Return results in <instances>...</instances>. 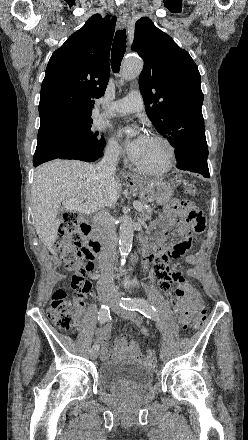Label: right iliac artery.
I'll return each mask as SVG.
<instances>
[{
	"mask_svg": "<svg viewBox=\"0 0 248 440\" xmlns=\"http://www.w3.org/2000/svg\"><path fill=\"white\" fill-rule=\"evenodd\" d=\"M110 319H111V316H110L109 307L107 305L103 304L98 312V321L101 324H104L105 322L109 321ZM93 349L98 350L99 345L95 343L93 345Z\"/></svg>",
	"mask_w": 248,
	"mask_h": 440,
	"instance_id": "1",
	"label": "right iliac artery"
}]
</instances>
